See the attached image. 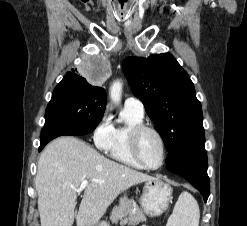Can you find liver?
<instances>
[{"label": "liver", "mask_w": 247, "mask_h": 226, "mask_svg": "<svg viewBox=\"0 0 247 226\" xmlns=\"http://www.w3.org/2000/svg\"><path fill=\"white\" fill-rule=\"evenodd\" d=\"M153 177L112 161L74 137H60L41 153L35 188L41 226H94L123 191ZM89 180L79 210L77 189ZM91 180H102L101 183Z\"/></svg>", "instance_id": "1"}]
</instances>
